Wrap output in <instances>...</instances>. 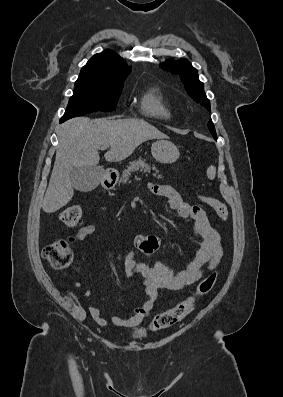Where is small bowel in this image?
Returning a JSON list of instances; mask_svg holds the SVG:
<instances>
[{
	"label": "small bowel",
	"instance_id": "1",
	"mask_svg": "<svg viewBox=\"0 0 283 397\" xmlns=\"http://www.w3.org/2000/svg\"><path fill=\"white\" fill-rule=\"evenodd\" d=\"M148 188L154 195L163 197L179 217L191 220L193 233L199 240V248L194 258L183 269L176 271L161 262L150 264L148 260L159 249L160 239L157 236L138 235L135 238V246L144 256L145 261H137L136 253L130 251L124 258V270L127 277L139 275L143 278L142 286L147 299L130 317L111 316L110 322L117 327L133 328L140 325L153 311L160 290H181L192 285L204 272L214 269L223 255L218 225L209 222L203 208L185 202L169 185L150 183ZM95 230L96 225H85L78 231L76 237L79 241H83ZM86 296H89V291H86ZM89 310L92 318L99 325H107V320L97 306L92 305Z\"/></svg>",
	"mask_w": 283,
	"mask_h": 397
}]
</instances>
